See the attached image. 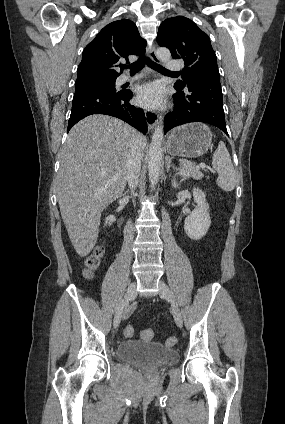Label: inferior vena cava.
Returning a JSON list of instances; mask_svg holds the SVG:
<instances>
[{
    "label": "inferior vena cava",
    "instance_id": "obj_1",
    "mask_svg": "<svg viewBox=\"0 0 285 424\" xmlns=\"http://www.w3.org/2000/svg\"><path fill=\"white\" fill-rule=\"evenodd\" d=\"M142 153L138 141H135L128 159L127 181L131 191L138 185L141 170Z\"/></svg>",
    "mask_w": 285,
    "mask_h": 424
}]
</instances>
